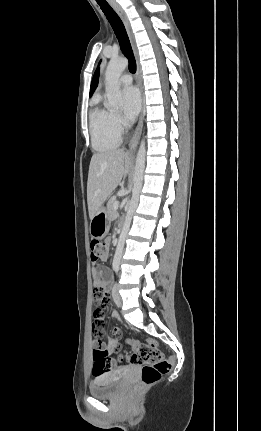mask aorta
<instances>
[{
  "instance_id": "aorta-1",
  "label": "aorta",
  "mask_w": 261,
  "mask_h": 431,
  "mask_svg": "<svg viewBox=\"0 0 261 431\" xmlns=\"http://www.w3.org/2000/svg\"><path fill=\"white\" fill-rule=\"evenodd\" d=\"M128 65L126 58H112L107 66L105 72V86H106V97L107 106L110 108H117L122 103V95L119 86V78L122 72ZM145 157L146 147L145 140L143 139L140 143V147L136 157V166L133 175V190L132 198L129 202L125 222L119 236L117 248L115 251L113 264L119 265L122 252L125 244V239L130 228L132 216L137 208L139 195L143 184V175L145 169Z\"/></svg>"
}]
</instances>
